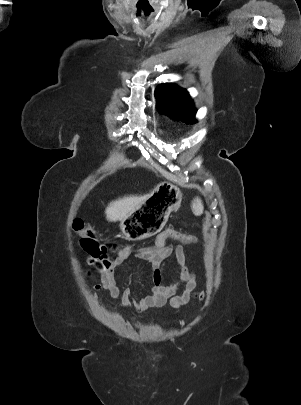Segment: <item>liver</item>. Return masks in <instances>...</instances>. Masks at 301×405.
<instances>
[{
  "label": "liver",
  "mask_w": 301,
  "mask_h": 405,
  "mask_svg": "<svg viewBox=\"0 0 301 405\" xmlns=\"http://www.w3.org/2000/svg\"><path fill=\"white\" fill-rule=\"evenodd\" d=\"M149 195L127 196L112 201L105 210L108 221H122L128 214L139 206Z\"/></svg>",
  "instance_id": "6515ba94"
}]
</instances>
